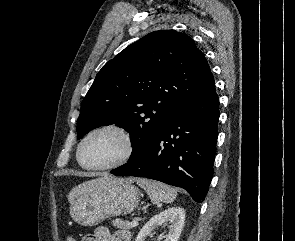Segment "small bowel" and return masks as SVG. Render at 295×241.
<instances>
[{
    "mask_svg": "<svg viewBox=\"0 0 295 241\" xmlns=\"http://www.w3.org/2000/svg\"><path fill=\"white\" fill-rule=\"evenodd\" d=\"M83 241H130L126 231L111 233L106 227H98L93 234L86 235Z\"/></svg>",
    "mask_w": 295,
    "mask_h": 241,
    "instance_id": "c3829d8e",
    "label": "small bowel"
}]
</instances>
